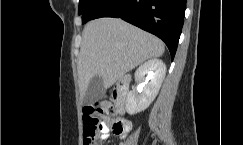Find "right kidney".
Here are the masks:
<instances>
[{
	"instance_id": "obj_1",
	"label": "right kidney",
	"mask_w": 243,
	"mask_h": 145,
	"mask_svg": "<svg viewBox=\"0 0 243 145\" xmlns=\"http://www.w3.org/2000/svg\"><path fill=\"white\" fill-rule=\"evenodd\" d=\"M166 75V65L160 59H150L135 72V80L142 89L140 95L130 91L126 100V111L134 115L144 111L156 98ZM150 80V81H149Z\"/></svg>"
}]
</instances>
